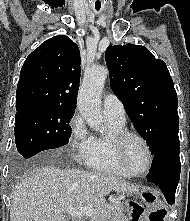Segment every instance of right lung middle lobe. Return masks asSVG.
<instances>
[{
	"label": "right lung middle lobe",
	"mask_w": 190,
	"mask_h": 221,
	"mask_svg": "<svg viewBox=\"0 0 190 221\" xmlns=\"http://www.w3.org/2000/svg\"><path fill=\"white\" fill-rule=\"evenodd\" d=\"M73 115V109L44 106L17 112L14 131L19 154L29 159L41 151L67 144Z\"/></svg>",
	"instance_id": "dd1d6c3e"
}]
</instances>
